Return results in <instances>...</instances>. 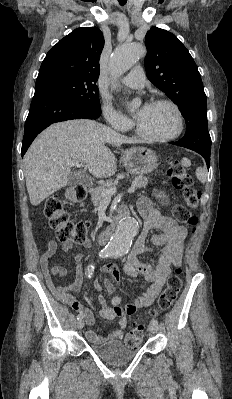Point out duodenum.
Segmentation results:
<instances>
[{
	"label": "duodenum",
	"mask_w": 232,
	"mask_h": 399,
	"mask_svg": "<svg viewBox=\"0 0 232 399\" xmlns=\"http://www.w3.org/2000/svg\"><path fill=\"white\" fill-rule=\"evenodd\" d=\"M88 194V189L85 185L79 184L71 189H69L66 193L67 199L70 202H80L86 198ZM115 227L113 225L107 227L96 235V241L100 244H105L111 238Z\"/></svg>",
	"instance_id": "obj_1"
}]
</instances>
